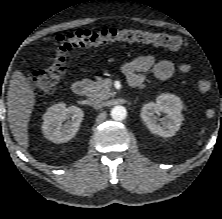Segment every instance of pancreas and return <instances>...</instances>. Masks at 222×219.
<instances>
[{"label": "pancreas", "instance_id": "cf45deb5", "mask_svg": "<svg viewBox=\"0 0 222 219\" xmlns=\"http://www.w3.org/2000/svg\"><path fill=\"white\" fill-rule=\"evenodd\" d=\"M88 83V96L99 99H108L111 96L109 87L106 86L103 80L91 81Z\"/></svg>", "mask_w": 222, "mask_h": 219}]
</instances>
